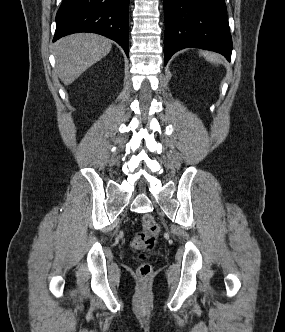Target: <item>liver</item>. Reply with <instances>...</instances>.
I'll use <instances>...</instances> for the list:
<instances>
[{"mask_svg":"<svg viewBox=\"0 0 285 332\" xmlns=\"http://www.w3.org/2000/svg\"><path fill=\"white\" fill-rule=\"evenodd\" d=\"M111 48V40L93 33H77L61 38L54 47L59 78L65 85H70L105 57Z\"/></svg>","mask_w":285,"mask_h":332,"instance_id":"1","label":"liver"}]
</instances>
